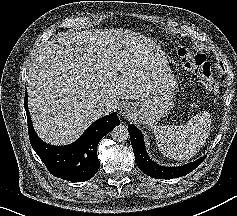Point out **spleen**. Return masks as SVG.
<instances>
[{"instance_id": "3e777b00", "label": "spleen", "mask_w": 237, "mask_h": 216, "mask_svg": "<svg viewBox=\"0 0 237 216\" xmlns=\"http://www.w3.org/2000/svg\"><path fill=\"white\" fill-rule=\"evenodd\" d=\"M207 113L198 114L179 125L155 124L153 130L159 149L174 159H188L204 145L210 128Z\"/></svg>"}]
</instances>
